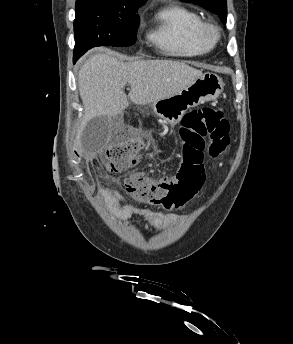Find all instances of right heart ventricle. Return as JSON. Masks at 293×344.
Instances as JSON below:
<instances>
[{
	"instance_id": "right-heart-ventricle-1",
	"label": "right heart ventricle",
	"mask_w": 293,
	"mask_h": 344,
	"mask_svg": "<svg viewBox=\"0 0 293 344\" xmlns=\"http://www.w3.org/2000/svg\"><path fill=\"white\" fill-rule=\"evenodd\" d=\"M203 23L200 15L192 9L172 4L156 12L146 37L165 54L200 56L213 47L202 37Z\"/></svg>"
}]
</instances>
